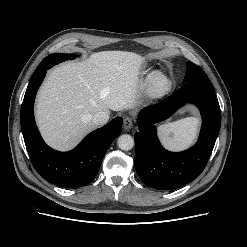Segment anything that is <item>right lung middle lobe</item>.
<instances>
[{"instance_id": "1", "label": "right lung middle lobe", "mask_w": 247, "mask_h": 247, "mask_svg": "<svg viewBox=\"0 0 247 247\" xmlns=\"http://www.w3.org/2000/svg\"><path fill=\"white\" fill-rule=\"evenodd\" d=\"M76 55L73 54H61V53H54L49 55L48 57L44 58L39 66L36 68L33 74H37L41 68H51L52 66L64 62L66 60H72L75 58Z\"/></svg>"}]
</instances>
